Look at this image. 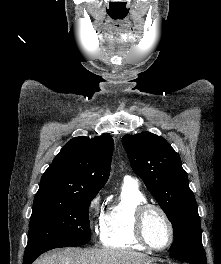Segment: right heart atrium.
I'll use <instances>...</instances> for the list:
<instances>
[{
  "mask_svg": "<svg viewBox=\"0 0 221 264\" xmlns=\"http://www.w3.org/2000/svg\"><path fill=\"white\" fill-rule=\"evenodd\" d=\"M87 216L90 229L96 234L100 233L104 212L99 195H95L89 200L87 205Z\"/></svg>",
  "mask_w": 221,
  "mask_h": 264,
  "instance_id": "obj_1",
  "label": "right heart atrium"
}]
</instances>
